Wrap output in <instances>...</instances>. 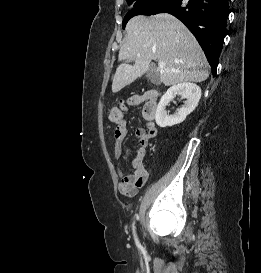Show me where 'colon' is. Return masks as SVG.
<instances>
[{
    "label": "colon",
    "mask_w": 261,
    "mask_h": 273,
    "mask_svg": "<svg viewBox=\"0 0 261 273\" xmlns=\"http://www.w3.org/2000/svg\"><path fill=\"white\" fill-rule=\"evenodd\" d=\"M122 107H124V105ZM108 118L113 123H119L124 119V115L120 108L112 107L108 112Z\"/></svg>",
    "instance_id": "obj_1"
}]
</instances>
